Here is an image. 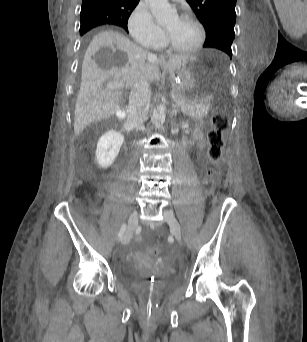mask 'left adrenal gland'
Returning <instances> with one entry per match:
<instances>
[{
	"mask_svg": "<svg viewBox=\"0 0 307 342\" xmlns=\"http://www.w3.org/2000/svg\"><path fill=\"white\" fill-rule=\"evenodd\" d=\"M177 110H178V108H177L176 104H172V112H173V116H175V118L177 116Z\"/></svg>",
	"mask_w": 307,
	"mask_h": 342,
	"instance_id": "a2214340",
	"label": "left adrenal gland"
}]
</instances>
